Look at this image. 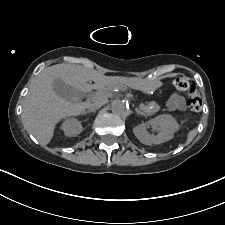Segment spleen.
Returning a JSON list of instances; mask_svg holds the SVG:
<instances>
[{"instance_id":"3e777b00","label":"spleen","mask_w":225,"mask_h":225,"mask_svg":"<svg viewBox=\"0 0 225 225\" xmlns=\"http://www.w3.org/2000/svg\"><path fill=\"white\" fill-rule=\"evenodd\" d=\"M195 136H196V129L190 130L187 134V139L185 144L188 145L189 143H191V141L195 138Z\"/></svg>"}]
</instances>
